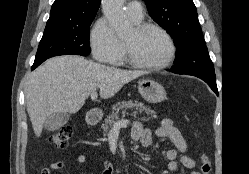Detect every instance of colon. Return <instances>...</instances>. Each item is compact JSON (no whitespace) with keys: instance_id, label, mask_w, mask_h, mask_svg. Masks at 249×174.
<instances>
[{"instance_id":"colon-1","label":"colon","mask_w":249,"mask_h":174,"mask_svg":"<svg viewBox=\"0 0 249 174\" xmlns=\"http://www.w3.org/2000/svg\"><path fill=\"white\" fill-rule=\"evenodd\" d=\"M72 136V130L68 126L61 127L50 137V143L56 149H64L68 146L69 140ZM212 170L211 160L207 154L201 155V165L200 173L201 174H210Z\"/></svg>"}]
</instances>
